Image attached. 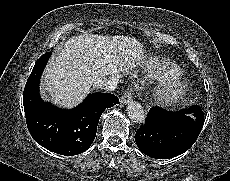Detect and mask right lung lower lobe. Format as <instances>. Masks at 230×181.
Masks as SVG:
<instances>
[{
    "label": "right lung lower lobe",
    "mask_w": 230,
    "mask_h": 181,
    "mask_svg": "<svg viewBox=\"0 0 230 181\" xmlns=\"http://www.w3.org/2000/svg\"><path fill=\"white\" fill-rule=\"evenodd\" d=\"M50 54L47 52L36 61L24 89L27 127L34 140L49 151L77 155L86 151L94 141L101 114L119 100L110 93H92L71 110L59 109L42 101L38 86Z\"/></svg>",
    "instance_id": "obj_1"
}]
</instances>
